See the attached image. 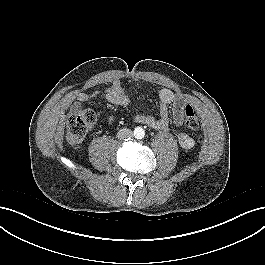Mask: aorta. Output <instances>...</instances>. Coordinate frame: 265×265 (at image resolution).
<instances>
[{
    "label": "aorta",
    "instance_id": "762f6f07",
    "mask_svg": "<svg viewBox=\"0 0 265 265\" xmlns=\"http://www.w3.org/2000/svg\"><path fill=\"white\" fill-rule=\"evenodd\" d=\"M144 135H145V133H144V130H143V129H141V128H137V129L135 130V137H136L137 139H142V138L144 137Z\"/></svg>",
    "mask_w": 265,
    "mask_h": 265
}]
</instances>
